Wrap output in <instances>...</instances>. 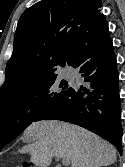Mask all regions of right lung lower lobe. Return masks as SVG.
<instances>
[{
    "instance_id": "98d812e1",
    "label": "right lung lower lobe",
    "mask_w": 125,
    "mask_h": 167,
    "mask_svg": "<svg viewBox=\"0 0 125 167\" xmlns=\"http://www.w3.org/2000/svg\"><path fill=\"white\" fill-rule=\"evenodd\" d=\"M75 67L90 86L71 88L65 99L51 103L33 122L53 119L74 123L109 141L121 154L118 71L108 28L87 45Z\"/></svg>"
}]
</instances>
